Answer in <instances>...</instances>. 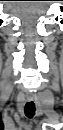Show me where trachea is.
<instances>
[{
	"label": "trachea",
	"mask_w": 63,
	"mask_h": 130,
	"mask_svg": "<svg viewBox=\"0 0 63 130\" xmlns=\"http://www.w3.org/2000/svg\"><path fill=\"white\" fill-rule=\"evenodd\" d=\"M24 111H25V115L28 118H33L35 115V104L32 101L27 102Z\"/></svg>",
	"instance_id": "obj_1"
}]
</instances>
